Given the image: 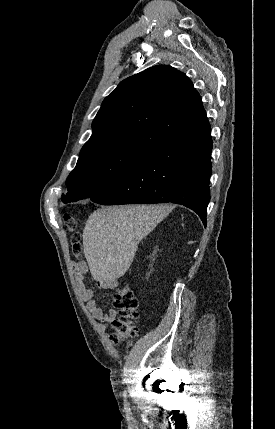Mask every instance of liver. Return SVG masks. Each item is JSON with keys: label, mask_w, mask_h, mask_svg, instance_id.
Returning <instances> with one entry per match:
<instances>
[{"label": "liver", "mask_w": 275, "mask_h": 429, "mask_svg": "<svg viewBox=\"0 0 275 429\" xmlns=\"http://www.w3.org/2000/svg\"><path fill=\"white\" fill-rule=\"evenodd\" d=\"M168 212L166 205L103 207L94 211L82 235L92 277L102 284L122 277L133 262L139 242Z\"/></svg>", "instance_id": "1"}]
</instances>
